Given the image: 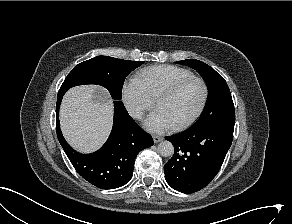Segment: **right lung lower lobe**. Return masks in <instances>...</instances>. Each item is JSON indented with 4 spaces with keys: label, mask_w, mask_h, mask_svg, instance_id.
I'll return each instance as SVG.
<instances>
[{
    "label": "right lung lower lobe",
    "mask_w": 292,
    "mask_h": 224,
    "mask_svg": "<svg viewBox=\"0 0 292 224\" xmlns=\"http://www.w3.org/2000/svg\"><path fill=\"white\" fill-rule=\"evenodd\" d=\"M68 89L59 90L56 103L57 137L76 171L89 183L102 189H115L128 183L137 154L154 144L151 135L129 116L121 101H114L113 129L107 142L92 154H80L65 141L59 123V107Z\"/></svg>",
    "instance_id": "1"
}]
</instances>
